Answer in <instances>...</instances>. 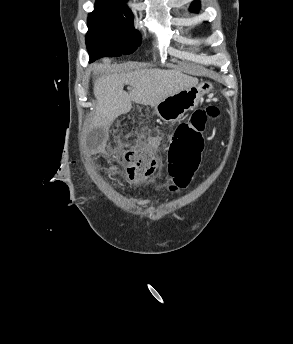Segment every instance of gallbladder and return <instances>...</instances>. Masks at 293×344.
<instances>
[{
	"mask_svg": "<svg viewBox=\"0 0 293 344\" xmlns=\"http://www.w3.org/2000/svg\"><path fill=\"white\" fill-rule=\"evenodd\" d=\"M107 138V133L104 128L93 129L87 138V145L90 149H96L99 147Z\"/></svg>",
	"mask_w": 293,
	"mask_h": 344,
	"instance_id": "1",
	"label": "gallbladder"
}]
</instances>
